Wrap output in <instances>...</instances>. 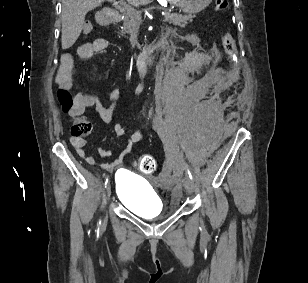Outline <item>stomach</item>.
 <instances>
[{"mask_svg": "<svg viewBox=\"0 0 308 283\" xmlns=\"http://www.w3.org/2000/svg\"><path fill=\"white\" fill-rule=\"evenodd\" d=\"M212 0H168L185 13L194 14L205 9Z\"/></svg>", "mask_w": 308, "mask_h": 283, "instance_id": "1", "label": "stomach"}]
</instances>
